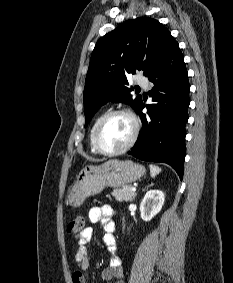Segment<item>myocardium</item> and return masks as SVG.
<instances>
[{
  "instance_id": "1",
  "label": "myocardium",
  "mask_w": 233,
  "mask_h": 283,
  "mask_svg": "<svg viewBox=\"0 0 233 283\" xmlns=\"http://www.w3.org/2000/svg\"><path fill=\"white\" fill-rule=\"evenodd\" d=\"M115 115L128 116L133 123V132H132L130 140L122 148L115 150V151H107V150H104L100 145V142H99L100 133L104 125L106 124V122ZM140 129H141L140 120L138 119V117L132 110L128 108H117V109L110 110L102 117V119L99 121L98 125L96 126V129L94 131V136H93L94 147L99 154L104 155V156H116V155L123 154L129 149H131L132 146L135 144V142L138 139Z\"/></svg>"
}]
</instances>
